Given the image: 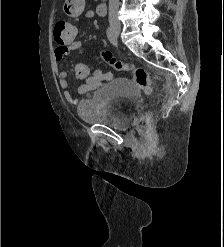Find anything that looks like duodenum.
<instances>
[{
  "mask_svg": "<svg viewBox=\"0 0 224 247\" xmlns=\"http://www.w3.org/2000/svg\"><path fill=\"white\" fill-rule=\"evenodd\" d=\"M106 8H107V6H106L105 1H100V2L96 5L97 14H98L99 16L105 15V13H106Z\"/></svg>",
  "mask_w": 224,
  "mask_h": 247,
  "instance_id": "410a0bca",
  "label": "duodenum"
}]
</instances>
